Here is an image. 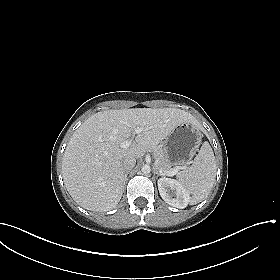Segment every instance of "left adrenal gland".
<instances>
[{
    "mask_svg": "<svg viewBox=\"0 0 280 280\" xmlns=\"http://www.w3.org/2000/svg\"><path fill=\"white\" fill-rule=\"evenodd\" d=\"M154 174L157 176H164V174H161L156 168H154Z\"/></svg>",
    "mask_w": 280,
    "mask_h": 280,
    "instance_id": "1",
    "label": "left adrenal gland"
}]
</instances>
